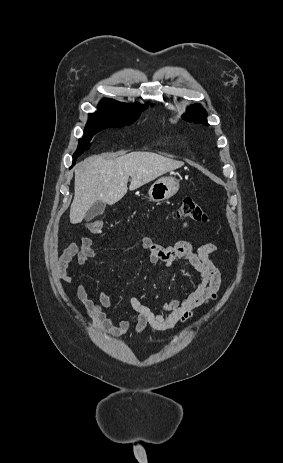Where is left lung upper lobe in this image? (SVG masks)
I'll use <instances>...</instances> for the list:
<instances>
[{
	"mask_svg": "<svg viewBox=\"0 0 283 463\" xmlns=\"http://www.w3.org/2000/svg\"><path fill=\"white\" fill-rule=\"evenodd\" d=\"M182 117L189 122L204 123L208 125L206 120V111L199 104L190 106Z\"/></svg>",
	"mask_w": 283,
	"mask_h": 463,
	"instance_id": "obj_1",
	"label": "left lung upper lobe"
}]
</instances>
